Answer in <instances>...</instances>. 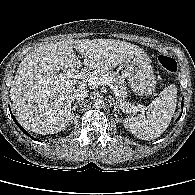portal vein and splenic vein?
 Here are the masks:
<instances>
[{
  "label": "portal vein and splenic vein",
  "mask_w": 195,
  "mask_h": 195,
  "mask_svg": "<svg viewBox=\"0 0 195 195\" xmlns=\"http://www.w3.org/2000/svg\"><path fill=\"white\" fill-rule=\"evenodd\" d=\"M65 75L69 78H76V79H81L84 80L85 82L88 83L90 86H98V85H108L115 93V97L119 103V106L123 112L130 113L144 110L145 107L143 105H138V106H133L131 108H127L125 104L122 102L120 99V92L118 88L113 85L112 79H110L107 75L105 74H89L85 70L79 72V71H74V72H67Z\"/></svg>",
  "instance_id": "18ae733b"
}]
</instances>
